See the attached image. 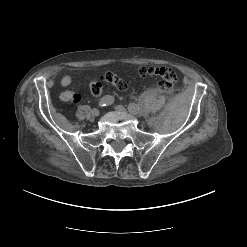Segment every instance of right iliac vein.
<instances>
[{
	"label": "right iliac vein",
	"instance_id": "obj_1",
	"mask_svg": "<svg viewBox=\"0 0 247 247\" xmlns=\"http://www.w3.org/2000/svg\"><path fill=\"white\" fill-rule=\"evenodd\" d=\"M99 114H100L99 109H93V110H92V115H93V116L97 117V116H99Z\"/></svg>",
	"mask_w": 247,
	"mask_h": 247
}]
</instances>
